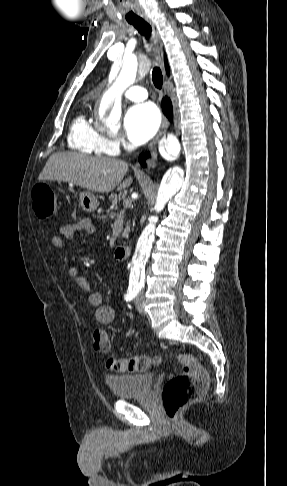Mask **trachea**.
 <instances>
[{"label": "trachea", "instance_id": "3493384b", "mask_svg": "<svg viewBox=\"0 0 287 486\" xmlns=\"http://www.w3.org/2000/svg\"><path fill=\"white\" fill-rule=\"evenodd\" d=\"M139 33L149 40L151 36V26L142 18L129 21ZM152 81L156 88L161 89L163 84V76L159 67H154L152 71Z\"/></svg>", "mask_w": 287, "mask_h": 486}]
</instances>
